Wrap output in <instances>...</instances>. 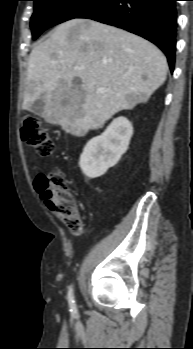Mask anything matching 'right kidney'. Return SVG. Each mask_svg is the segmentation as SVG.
Segmentation results:
<instances>
[{
    "label": "right kidney",
    "mask_w": 193,
    "mask_h": 349,
    "mask_svg": "<svg viewBox=\"0 0 193 349\" xmlns=\"http://www.w3.org/2000/svg\"><path fill=\"white\" fill-rule=\"evenodd\" d=\"M133 127L123 116L114 119L107 129L84 147L79 166L88 178H97L118 163L128 149Z\"/></svg>",
    "instance_id": "1"
}]
</instances>
